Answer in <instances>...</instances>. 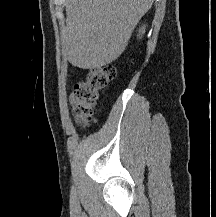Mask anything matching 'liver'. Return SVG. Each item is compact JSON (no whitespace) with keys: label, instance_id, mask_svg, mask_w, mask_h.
Returning <instances> with one entry per match:
<instances>
[{"label":"liver","instance_id":"liver-1","mask_svg":"<svg viewBox=\"0 0 216 217\" xmlns=\"http://www.w3.org/2000/svg\"><path fill=\"white\" fill-rule=\"evenodd\" d=\"M153 1L66 0V26L61 38L68 61L89 70L115 61Z\"/></svg>","mask_w":216,"mask_h":217}]
</instances>
